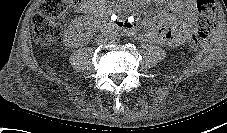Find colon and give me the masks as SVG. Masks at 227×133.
Here are the masks:
<instances>
[{
  "label": "colon",
  "instance_id": "obj_1",
  "mask_svg": "<svg viewBox=\"0 0 227 133\" xmlns=\"http://www.w3.org/2000/svg\"><path fill=\"white\" fill-rule=\"evenodd\" d=\"M84 0H43L32 18V33L39 45H52L61 33V21L71 8H86ZM199 12L198 29L193 37L192 46L204 44L215 26V1L196 0Z\"/></svg>",
  "mask_w": 227,
  "mask_h": 133
}]
</instances>
